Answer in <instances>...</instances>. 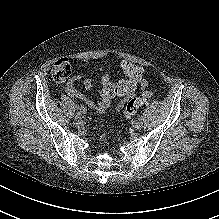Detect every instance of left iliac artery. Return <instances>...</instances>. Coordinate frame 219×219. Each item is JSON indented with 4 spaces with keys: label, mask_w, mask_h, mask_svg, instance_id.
<instances>
[{
    "label": "left iliac artery",
    "mask_w": 219,
    "mask_h": 219,
    "mask_svg": "<svg viewBox=\"0 0 219 219\" xmlns=\"http://www.w3.org/2000/svg\"><path fill=\"white\" fill-rule=\"evenodd\" d=\"M139 119H143V116H142V115H140V116H139Z\"/></svg>",
    "instance_id": "obj_1"
}]
</instances>
